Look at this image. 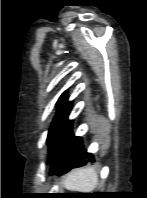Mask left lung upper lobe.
Masks as SVG:
<instances>
[{"label":"left lung upper lobe","mask_w":147,"mask_h":198,"mask_svg":"<svg viewBox=\"0 0 147 198\" xmlns=\"http://www.w3.org/2000/svg\"><path fill=\"white\" fill-rule=\"evenodd\" d=\"M57 103L59 106L58 111L49 129L47 137L49 146L48 162L50 161V158L59 143L65 137L67 132L72 128V121H69L67 119L71 109V102L67 101L66 91L60 96Z\"/></svg>","instance_id":"5c2ea615"}]
</instances>
